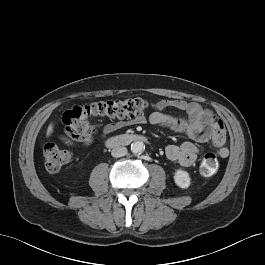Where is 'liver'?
<instances>
[{"mask_svg":"<svg viewBox=\"0 0 265 265\" xmlns=\"http://www.w3.org/2000/svg\"><path fill=\"white\" fill-rule=\"evenodd\" d=\"M53 132V124L51 123L49 126H48V129H47V137H49Z\"/></svg>","mask_w":265,"mask_h":265,"instance_id":"6515ba94","label":"liver"}]
</instances>
